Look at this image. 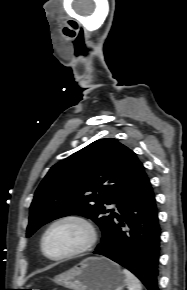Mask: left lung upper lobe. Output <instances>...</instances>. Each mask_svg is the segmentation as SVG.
Segmentation results:
<instances>
[{
    "label": "left lung upper lobe",
    "mask_w": 187,
    "mask_h": 290,
    "mask_svg": "<svg viewBox=\"0 0 187 290\" xmlns=\"http://www.w3.org/2000/svg\"><path fill=\"white\" fill-rule=\"evenodd\" d=\"M144 177L136 154L116 139L91 143L49 170L30 206L27 237L54 219L81 215L100 227L103 240L116 216L104 204L115 203L118 208Z\"/></svg>",
    "instance_id": "left-lung-upper-lobe-1"
}]
</instances>
